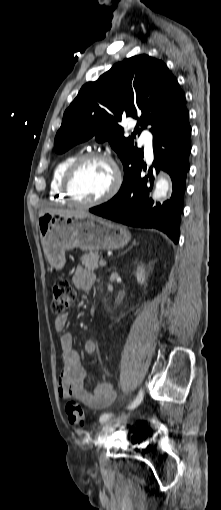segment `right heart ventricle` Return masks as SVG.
Instances as JSON below:
<instances>
[{"instance_id":"1","label":"right heart ventricle","mask_w":221,"mask_h":510,"mask_svg":"<svg viewBox=\"0 0 221 510\" xmlns=\"http://www.w3.org/2000/svg\"><path fill=\"white\" fill-rule=\"evenodd\" d=\"M76 158H77L76 154H69L62 158L55 165L52 172L49 189V196L52 201L62 204L68 203V200L64 197L62 193L61 185L64 173Z\"/></svg>"}]
</instances>
